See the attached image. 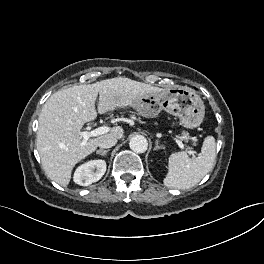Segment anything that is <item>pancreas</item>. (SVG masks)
<instances>
[{"label": "pancreas", "mask_w": 264, "mask_h": 264, "mask_svg": "<svg viewBox=\"0 0 264 264\" xmlns=\"http://www.w3.org/2000/svg\"><path fill=\"white\" fill-rule=\"evenodd\" d=\"M182 135H183L182 137H183L184 140L188 141V140L190 139V136H189V133H188V132H185V131H184V132L182 133Z\"/></svg>", "instance_id": "cf45deb5"}]
</instances>
